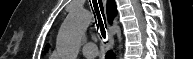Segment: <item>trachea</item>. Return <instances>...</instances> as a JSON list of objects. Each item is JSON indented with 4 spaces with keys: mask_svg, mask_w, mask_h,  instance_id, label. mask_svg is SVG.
I'll list each match as a JSON object with an SVG mask.
<instances>
[{
    "mask_svg": "<svg viewBox=\"0 0 193 59\" xmlns=\"http://www.w3.org/2000/svg\"><path fill=\"white\" fill-rule=\"evenodd\" d=\"M100 8V9H99ZM94 9H95V12H96V15H97V18H98V25L97 27L99 28L100 27V38L102 39H106V31H105V28H106V20H105V15H104V7H103V4H102V1L99 2V6L98 4L96 3V5H94ZM95 14V13H94ZM102 17H103V20H104V23H103V20H102ZM104 24H105V27H104Z\"/></svg>",
    "mask_w": 193,
    "mask_h": 59,
    "instance_id": "3493384b",
    "label": "trachea"
}]
</instances>
